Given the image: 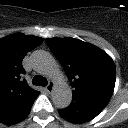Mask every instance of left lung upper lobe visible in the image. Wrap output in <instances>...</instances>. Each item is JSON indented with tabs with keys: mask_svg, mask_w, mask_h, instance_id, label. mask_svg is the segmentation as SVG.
Here are the masks:
<instances>
[{
	"mask_svg": "<svg viewBox=\"0 0 128 128\" xmlns=\"http://www.w3.org/2000/svg\"><path fill=\"white\" fill-rule=\"evenodd\" d=\"M46 43L71 81L73 100L108 104L114 91L116 70L107 53L74 38H50Z\"/></svg>",
	"mask_w": 128,
	"mask_h": 128,
	"instance_id": "1",
	"label": "left lung upper lobe"
}]
</instances>
